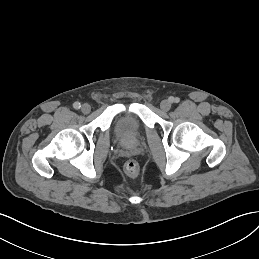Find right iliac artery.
I'll return each mask as SVG.
<instances>
[{
    "label": "right iliac artery",
    "instance_id": "right-iliac-artery-1",
    "mask_svg": "<svg viewBox=\"0 0 259 259\" xmlns=\"http://www.w3.org/2000/svg\"><path fill=\"white\" fill-rule=\"evenodd\" d=\"M73 107H74L75 109H79V108L81 107V104H80L79 102H75V103L73 104Z\"/></svg>",
    "mask_w": 259,
    "mask_h": 259
}]
</instances>
